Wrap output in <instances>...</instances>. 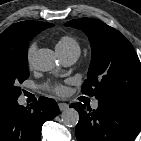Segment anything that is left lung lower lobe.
<instances>
[{"label": "left lung lower lobe", "mask_w": 141, "mask_h": 141, "mask_svg": "<svg viewBox=\"0 0 141 141\" xmlns=\"http://www.w3.org/2000/svg\"><path fill=\"white\" fill-rule=\"evenodd\" d=\"M70 107L79 112L78 141H133L141 130V104L104 99L93 111L81 103Z\"/></svg>", "instance_id": "0a47b994"}]
</instances>
